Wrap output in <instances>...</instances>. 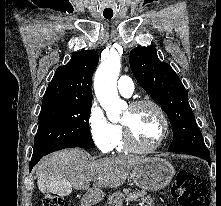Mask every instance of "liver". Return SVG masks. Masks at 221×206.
Returning a JSON list of instances; mask_svg holds the SVG:
<instances>
[{"label":"liver","mask_w":221,"mask_h":206,"mask_svg":"<svg viewBox=\"0 0 221 206\" xmlns=\"http://www.w3.org/2000/svg\"><path fill=\"white\" fill-rule=\"evenodd\" d=\"M144 158L133 156L106 157L88 160V154L80 148L59 151L43 158L36 167L37 185L41 192H48L63 183L67 193L74 189H88L90 181L95 188L119 187L133 168Z\"/></svg>","instance_id":"obj_1"}]
</instances>
